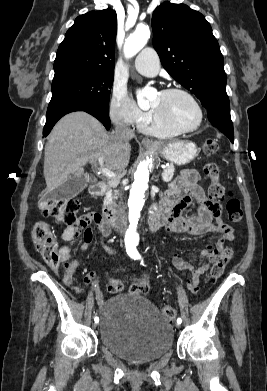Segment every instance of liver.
<instances>
[{"instance_id":"1","label":"liver","mask_w":267,"mask_h":391,"mask_svg":"<svg viewBox=\"0 0 267 391\" xmlns=\"http://www.w3.org/2000/svg\"><path fill=\"white\" fill-rule=\"evenodd\" d=\"M90 114L76 111L65 115L52 129L44 149L45 196L71 177H81L83 166L96 164L101 156L108 170L121 173L128 166L131 146Z\"/></svg>"}]
</instances>
